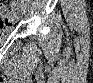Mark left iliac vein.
I'll list each match as a JSON object with an SVG mask.
<instances>
[{"instance_id":"left-iliac-vein-1","label":"left iliac vein","mask_w":93,"mask_h":83,"mask_svg":"<svg viewBox=\"0 0 93 83\" xmlns=\"http://www.w3.org/2000/svg\"><path fill=\"white\" fill-rule=\"evenodd\" d=\"M29 13V10L28 9H23V14L24 15H27Z\"/></svg>"}]
</instances>
